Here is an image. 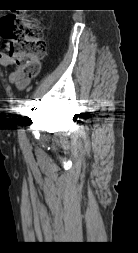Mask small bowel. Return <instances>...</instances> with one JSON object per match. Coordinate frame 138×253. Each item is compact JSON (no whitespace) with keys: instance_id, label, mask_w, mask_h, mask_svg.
<instances>
[{"instance_id":"obj_1","label":"small bowel","mask_w":138,"mask_h":253,"mask_svg":"<svg viewBox=\"0 0 138 253\" xmlns=\"http://www.w3.org/2000/svg\"><path fill=\"white\" fill-rule=\"evenodd\" d=\"M0 64L5 67L13 66V70L8 76V80L11 84L15 85L20 90L25 89L29 85L30 79L25 76L15 60L2 51H0Z\"/></svg>"}]
</instances>
